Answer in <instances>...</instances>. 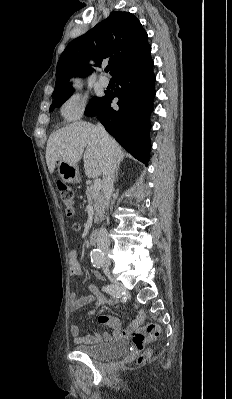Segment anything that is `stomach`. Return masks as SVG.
I'll use <instances>...</instances> for the list:
<instances>
[{
    "mask_svg": "<svg viewBox=\"0 0 232 399\" xmlns=\"http://www.w3.org/2000/svg\"><path fill=\"white\" fill-rule=\"evenodd\" d=\"M57 172L63 182H67V184H78L80 182V174L76 164L73 166V164H67V162H59Z\"/></svg>",
    "mask_w": 232,
    "mask_h": 399,
    "instance_id": "obj_1",
    "label": "stomach"
}]
</instances>
